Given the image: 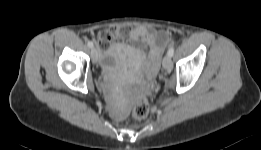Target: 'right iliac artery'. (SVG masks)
<instances>
[{"label": "right iliac artery", "instance_id": "obj_1", "mask_svg": "<svg viewBox=\"0 0 261 150\" xmlns=\"http://www.w3.org/2000/svg\"><path fill=\"white\" fill-rule=\"evenodd\" d=\"M87 45L92 48L93 47V43L91 41H88Z\"/></svg>", "mask_w": 261, "mask_h": 150}]
</instances>
